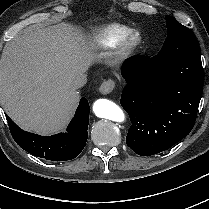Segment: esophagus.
Listing matches in <instances>:
<instances>
[{"instance_id": "esophagus-1", "label": "esophagus", "mask_w": 209, "mask_h": 209, "mask_svg": "<svg viewBox=\"0 0 209 209\" xmlns=\"http://www.w3.org/2000/svg\"><path fill=\"white\" fill-rule=\"evenodd\" d=\"M115 85H116V83L114 80L107 79L101 84L99 91L103 95H107L113 91V89L115 88Z\"/></svg>"}]
</instances>
